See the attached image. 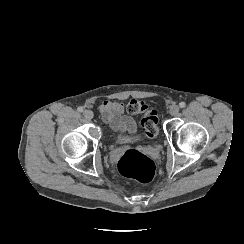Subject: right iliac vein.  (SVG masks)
Here are the masks:
<instances>
[{"instance_id":"obj_1","label":"right iliac vein","mask_w":244,"mask_h":244,"mask_svg":"<svg viewBox=\"0 0 244 244\" xmlns=\"http://www.w3.org/2000/svg\"><path fill=\"white\" fill-rule=\"evenodd\" d=\"M83 115H84V117H85L86 119L91 120V119L93 118V116H94V113H93V111L87 109V110H85V111L83 112Z\"/></svg>"}]
</instances>
